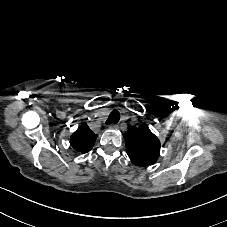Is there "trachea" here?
<instances>
[{"instance_id": "trachea-1", "label": "trachea", "mask_w": 227, "mask_h": 227, "mask_svg": "<svg viewBox=\"0 0 227 227\" xmlns=\"http://www.w3.org/2000/svg\"><path fill=\"white\" fill-rule=\"evenodd\" d=\"M120 120V112L117 109H113L109 114L106 124L118 123Z\"/></svg>"}]
</instances>
